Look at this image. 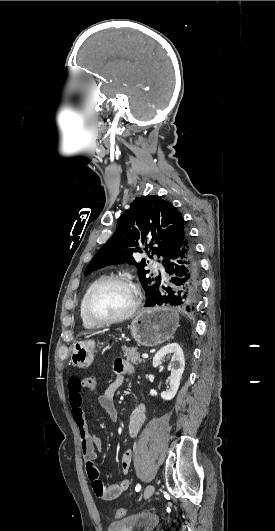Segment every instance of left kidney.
<instances>
[{"mask_svg": "<svg viewBox=\"0 0 275 531\" xmlns=\"http://www.w3.org/2000/svg\"><path fill=\"white\" fill-rule=\"evenodd\" d=\"M172 353L175 355L173 361H176V367L175 369H171V379L167 391L161 393V397L164 399V401H171V399H174L179 389L180 381L185 369L183 349H181L178 343H170V345L162 347V349L156 353L153 359V367H159L164 357H166V355H172ZM150 395H152V397H156L158 393H156L154 389H151Z\"/></svg>", "mask_w": 275, "mask_h": 531, "instance_id": "5707ae66", "label": "left kidney"}]
</instances>
